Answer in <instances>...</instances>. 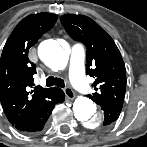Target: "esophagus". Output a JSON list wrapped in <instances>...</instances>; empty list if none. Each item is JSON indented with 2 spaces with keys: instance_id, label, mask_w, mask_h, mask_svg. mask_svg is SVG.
Instances as JSON below:
<instances>
[{
  "instance_id": "34e87169",
  "label": "esophagus",
  "mask_w": 147,
  "mask_h": 147,
  "mask_svg": "<svg viewBox=\"0 0 147 147\" xmlns=\"http://www.w3.org/2000/svg\"><path fill=\"white\" fill-rule=\"evenodd\" d=\"M63 91H64L66 97L69 98V99H74L75 96H76L74 91L70 87H65L63 89Z\"/></svg>"
}]
</instances>
